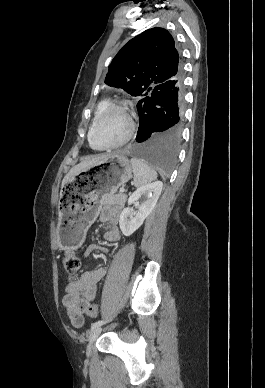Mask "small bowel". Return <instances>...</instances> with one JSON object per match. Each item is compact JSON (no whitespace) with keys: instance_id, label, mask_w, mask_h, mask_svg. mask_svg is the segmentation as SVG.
I'll list each match as a JSON object with an SVG mask.
<instances>
[{"instance_id":"1","label":"small bowel","mask_w":265,"mask_h":388,"mask_svg":"<svg viewBox=\"0 0 265 388\" xmlns=\"http://www.w3.org/2000/svg\"><path fill=\"white\" fill-rule=\"evenodd\" d=\"M121 216V209L116 206H105L100 210L99 219L108 223L109 227L104 234L107 242H117L121 238L118 222ZM95 250L106 251L105 248L92 244L88 246L85 255ZM104 268H97L86 271L80 277L69 281L66 285L65 295L62 303L67 312L70 323L74 327H81L89 307L97 295V283L104 277Z\"/></svg>"}]
</instances>
